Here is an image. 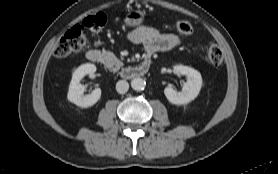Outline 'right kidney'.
Here are the masks:
<instances>
[{"instance_id":"obj_1","label":"right kidney","mask_w":278,"mask_h":174,"mask_svg":"<svg viewBox=\"0 0 278 174\" xmlns=\"http://www.w3.org/2000/svg\"><path fill=\"white\" fill-rule=\"evenodd\" d=\"M96 72V66L86 63L79 66L72 75L67 98L75 105L87 108L93 106L101 97V89L96 88L89 95H84L85 87L80 83L85 75H91Z\"/></svg>"}]
</instances>
